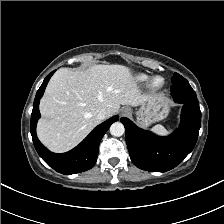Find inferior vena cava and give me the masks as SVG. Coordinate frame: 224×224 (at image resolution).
<instances>
[{"label":"inferior vena cava","mask_w":224,"mask_h":224,"mask_svg":"<svg viewBox=\"0 0 224 224\" xmlns=\"http://www.w3.org/2000/svg\"><path fill=\"white\" fill-rule=\"evenodd\" d=\"M107 118V110L106 109H101L99 112H98V114H97V119L98 120H104V119H106Z\"/></svg>","instance_id":"inferior-vena-cava-1"}]
</instances>
